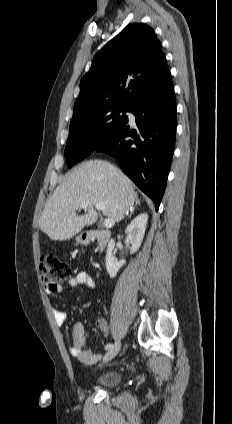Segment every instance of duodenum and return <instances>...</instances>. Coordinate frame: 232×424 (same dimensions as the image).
Segmentation results:
<instances>
[{
    "label": "duodenum",
    "instance_id": "410a0bca",
    "mask_svg": "<svg viewBox=\"0 0 232 424\" xmlns=\"http://www.w3.org/2000/svg\"><path fill=\"white\" fill-rule=\"evenodd\" d=\"M110 236L111 233L109 230L97 229L87 232V234L85 235V241L88 243L91 241H95L98 252H102L107 246Z\"/></svg>",
    "mask_w": 232,
    "mask_h": 424
}]
</instances>
